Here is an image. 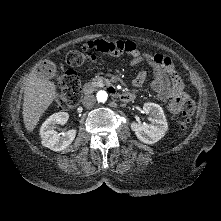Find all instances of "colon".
<instances>
[{
  "instance_id": "5ec220e1",
  "label": "colon",
  "mask_w": 221,
  "mask_h": 221,
  "mask_svg": "<svg viewBox=\"0 0 221 221\" xmlns=\"http://www.w3.org/2000/svg\"><path fill=\"white\" fill-rule=\"evenodd\" d=\"M95 58L93 54L74 50L67 53L65 62L69 67H78L94 61ZM55 81L61 88V94L57 99L58 106L62 109L76 106L82 97L81 83L77 73L74 70H67L57 75ZM194 112L195 103L192 100H186L183 104L182 119L179 123L181 131L187 130Z\"/></svg>"
}]
</instances>
